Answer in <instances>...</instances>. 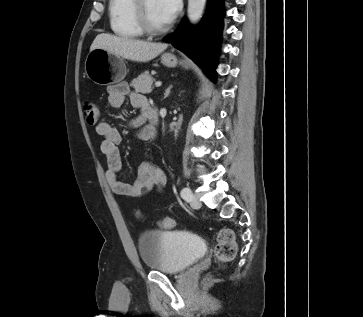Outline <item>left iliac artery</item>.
<instances>
[{
  "instance_id": "obj_1",
  "label": "left iliac artery",
  "mask_w": 363,
  "mask_h": 317,
  "mask_svg": "<svg viewBox=\"0 0 363 317\" xmlns=\"http://www.w3.org/2000/svg\"><path fill=\"white\" fill-rule=\"evenodd\" d=\"M191 195H192V192H191L190 188L185 187V188H183V189L181 190V197H182L183 199H185V200L189 201V200H190V198H191Z\"/></svg>"
}]
</instances>
